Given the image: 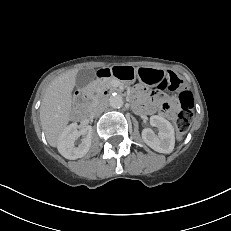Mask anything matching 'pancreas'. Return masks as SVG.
Wrapping results in <instances>:
<instances>
[{"label": "pancreas", "mask_w": 231, "mask_h": 231, "mask_svg": "<svg viewBox=\"0 0 231 231\" xmlns=\"http://www.w3.org/2000/svg\"><path fill=\"white\" fill-rule=\"evenodd\" d=\"M109 84H110V81H105V82L103 83L102 87L104 88V87L108 86Z\"/></svg>", "instance_id": "obj_1"}]
</instances>
